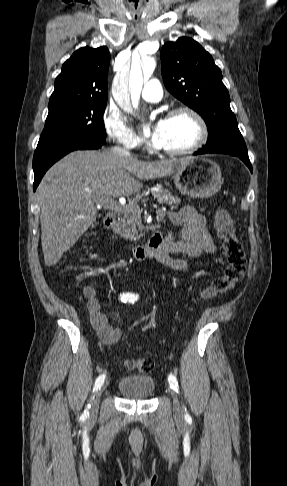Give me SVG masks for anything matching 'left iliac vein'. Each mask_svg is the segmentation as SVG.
<instances>
[{
  "label": "left iliac vein",
  "mask_w": 287,
  "mask_h": 486,
  "mask_svg": "<svg viewBox=\"0 0 287 486\" xmlns=\"http://www.w3.org/2000/svg\"><path fill=\"white\" fill-rule=\"evenodd\" d=\"M169 393H170L172 400H173L174 416L176 418H181L182 417V409H181L180 402H179V399L177 397V394L172 388L171 389L169 388Z\"/></svg>",
  "instance_id": "4c4485c4"
}]
</instances>
